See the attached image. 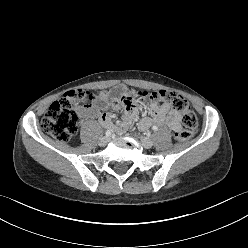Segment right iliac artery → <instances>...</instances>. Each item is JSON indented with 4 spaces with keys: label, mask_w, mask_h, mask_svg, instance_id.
<instances>
[{
    "label": "right iliac artery",
    "mask_w": 248,
    "mask_h": 248,
    "mask_svg": "<svg viewBox=\"0 0 248 248\" xmlns=\"http://www.w3.org/2000/svg\"><path fill=\"white\" fill-rule=\"evenodd\" d=\"M105 135H106L107 137L110 136V135H111V131H110V130H107L106 133H105Z\"/></svg>",
    "instance_id": "82829eb1"
}]
</instances>
